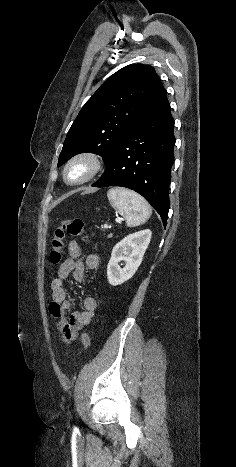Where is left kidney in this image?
Returning <instances> with one entry per match:
<instances>
[{
    "instance_id": "5707ae66",
    "label": "left kidney",
    "mask_w": 236,
    "mask_h": 467,
    "mask_svg": "<svg viewBox=\"0 0 236 467\" xmlns=\"http://www.w3.org/2000/svg\"><path fill=\"white\" fill-rule=\"evenodd\" d=\"M151 235L149 229L142 230L129 234L114 246L107 266V277L111 285H121L135 274L148 248ZM121 261L125 262L123 268L119 266Z\"/></svg>"
}]
</instances>
